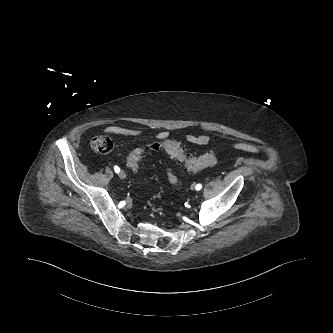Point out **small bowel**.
<instances>
[{
  "instance_id": "c3829d8e",
  "label": "small bowel",
  "mask_w": 333,
  "mask_h": 333,
  "mask_svg": "<svg viewBox=\"0 0 333 333\" xmlns=\"http://www.w3.org/2000/svg\"><path fill=\"white\" fill-rule=\"evenodd\" d=\"M105 133L117 136H125V137H135L142 134V130L140 128H130V127H123L118 125H109L104 129ZM156 142H162L169 140V132L166 130L159 131L156 136ZM185 139L188 143L194 145H206L212 141H219L220 139L209 135V134H194V133H187ZM241 148H245L248 150L256 151L257 148L254 145L250 144H238Z\"/></svg>"
}]
</instances>
